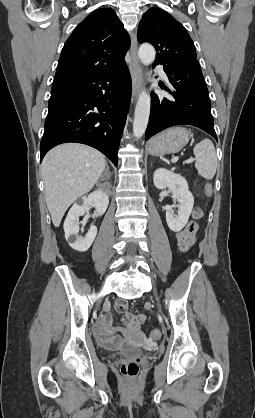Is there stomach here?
I'll return each instance as SVG.
<instances>
[{
    "label": "stomach",
    "instance_id": "stomach-1",
    "mask_svg": "<svg viewBox=\"0 0 255 418\" xmlns=\"http://www.w3.org/2000/svg\"><path fill=\"white\" fill-rule=\"evenodd\" d=\"M190 139V131L184 127L169 128L155 137L148 144L152 155H164L179 152Z\"/></svg>",
    "mask_w": 255,
    "mask_h": 418
}]
</instances>
